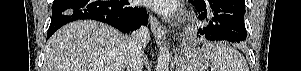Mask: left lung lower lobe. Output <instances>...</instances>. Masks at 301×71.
Segmentation results:
<instances>
[{"instance_id":"obj_1","label":"left lung lower lobe","mask_w":301,"mask_h":71,"mask_svg":"<svg viewBox=\"0 0 301 71\" xmlns=\"http://www.w3.org/2000/svg\"><path fill=\"white\" fill-rule=\"evenodd\" d=\"M199 13V18L209 19V24L199 32L210 41L246 40L244 0H189Z\"/></svg>"}]
</instances>
